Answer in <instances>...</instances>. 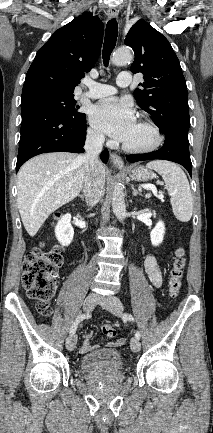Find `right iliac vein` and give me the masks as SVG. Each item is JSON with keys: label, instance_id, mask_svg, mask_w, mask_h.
<instances>
[{"label": "right iliac vein", "instance_id": "obj_1", "mask_svg": "<svg viewBox=\"0 0 213 433\" xmlns=\"http://www.w3.org/2000/svg\"><path fill=\"white\" fill-rule=\"evenodd\" d=\"M98 303V297L95 294L88 295L83 303V309L86 312H90L94 309L96 304ZM77 338L75 335H71L66 339V348L69 351L74 350L76 346Z\"/></svg>", "mask_w": 213, "mask_h": 433}]
</instances>
